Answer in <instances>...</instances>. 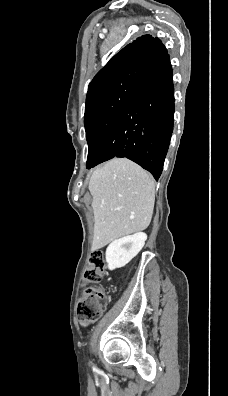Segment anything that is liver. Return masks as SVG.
I'll list each match as a JSON object with an SVG mask.
<instances>
[{
  "label": "liver",
  "instance_id": "obj_1",
  "mask_svg": "<svg viewBox=\"0 0 228 396\" xmlns=\"http://www.w3.org/2000/svg\"><path fill=\"white\" fill-rule=\"evenodd\" d=\"M94 213L92 250L145 230L152 219L155 183L152 176L127 158H114L90 179Z\"/></svg>",
  "mask_w": 228,
  "mask_h": 396
}]
</instances>
